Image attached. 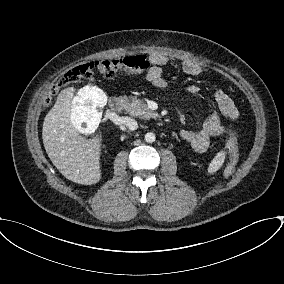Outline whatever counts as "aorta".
Instances as JSON below:
<instances>
[{"label":"aorta","mask_w":284,"mask_h":284,"mask_svg":"<svg viewBox=\"0 0 284 284\" xmlns=\"http://www.w3.org/2000/svg\"><path fill=\"white\" fill-rule=\"evenodd\" d=\"M155 139H156V137H155L154 133L148 132V133L145 134V141L147 143H153V142H155Z\"/></svg>","instance_id":"762f6f07"}]
</instances>
